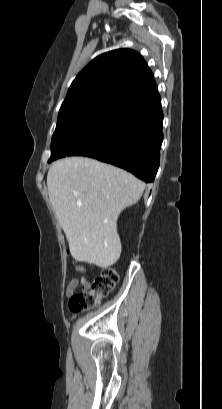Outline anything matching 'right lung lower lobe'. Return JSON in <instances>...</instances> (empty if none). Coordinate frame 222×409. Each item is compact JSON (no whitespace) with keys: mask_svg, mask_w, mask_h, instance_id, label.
Listing matches in <instances>:
<instances>
[{"mask_svg":"<svg viewBox=\"0 0 222 409\" xmlns=\"http://www.w3.org/2000/svg\"><path fill=\"white\" fill-rule=\"evenodd\" d=\"M160 96L122 108L102 143L85 155L123 168L151 183L159 168L163 141Z\"/></svg>","mask_w":222,"mask_h":409,"instance_id":"1","label":"right lung lower lobe"}]
</instances>
